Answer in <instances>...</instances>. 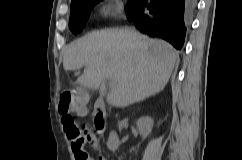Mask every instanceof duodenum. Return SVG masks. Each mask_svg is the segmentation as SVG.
I'll use <instances>...</instances> for the list:
<instances>
[{"instance_id":"1","label":"duodenum","mask_w":242,"mask_h":160,"mask_svg":"<svg viewBox=\"0 0 242 160\" xmlns=\"http://www.w3.org/2000/svg\"><path fill=\"white\" fill-rule=\"evenodd\" d=\"M92 117L94 130L99 134L102 133L106 127L107 111L101 99L95 101Z\"/></svg>"}]
</instances>
